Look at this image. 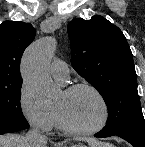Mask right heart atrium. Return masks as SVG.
Segmentation results:
<instances>
[{
	"label": "right heart atrium",
	"instance_id": "right-heart-atrium-1",
	"mask_svg": "<svg viewBox=\"0 0 145 147\" xmlns=\"http://www.w3.org/2000/svg\"><path fill=\"white\" fill-rule=\"evenodd\" d=\"M18 108L21 116L30 126L42 132H49L54 127V111L40 106L25 83L21 85L19 90Z\"/></svg>",
	"mask_w": 145,
	"mask_h": 147
}]
</instances>
